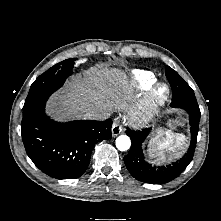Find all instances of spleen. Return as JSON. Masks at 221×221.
Masks as SVG:
<instances>
[{
  "mask_svg": "<svg viewBox=\"0 0 221 221\" xmlns=\"http://www.w3.org/2000/svg\"><path fill=\"white\" fill-rule=\"evenodd\" d=\"M186 148V137L183 134H174L171 131L158 130L148 144V153L151 157L161 160L179 158Z\"/></svg>",
  "mask_w": 221,
  "mask_h": 221,
  "instance_id": "spleen-1",
  "label": "spleen"
}]
</instances>
